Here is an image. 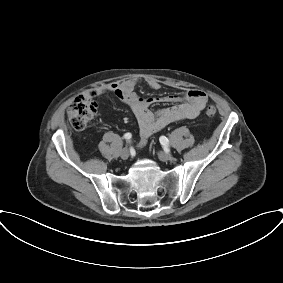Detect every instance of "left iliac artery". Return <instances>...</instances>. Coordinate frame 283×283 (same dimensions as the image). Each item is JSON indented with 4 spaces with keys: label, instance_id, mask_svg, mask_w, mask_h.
Returning a JSON list of instances; mask_svg holds the SVG:
<instances>
[{
    "label": "left iliac artery",
    "instance_id": "left-iliac-artery-1",
    "mask_svg": "<svg viewBox=\"0 0 283 283\" xmlns=\"http://www.w3.org/2000/svg\"><path fill=\"white\" fill-rule=\"evenodd\" d=\"M159 141H160V143H161L163 146H168V145H169V140H168V138L165 137V136H161V137L159 138Z\"/></svg>",
    "mask_w": 283,
    "mask_h": 283
}]
</instances>
